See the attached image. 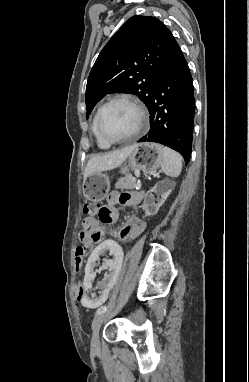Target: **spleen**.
Returning <instances> with one entry per match:
<instances>
[{
	"mask_svg": "<svg viewBox=\"0 0 249 382\" xmlns=\"http://www.w3.org/2000/svg\"><path fill=\"white\" fill-rule=\"evenodd\" d=\"M163 161L162 171L170 177H178L182 170V157L181 155L170 149L169 147H162Z\"/></svg>",
	"mask_w": 249,
	"mask_h": 382,
	"instance_id": "obj_1",
	"label": "spleen"
}]
</instances>
